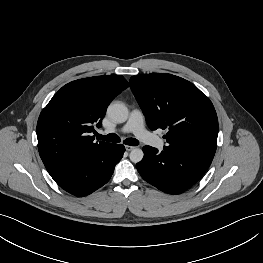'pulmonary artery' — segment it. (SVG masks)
I'll return each mask as SVG.
<instances>
[{
	"label": "pulmonary artery",
	"instance_id": "e3ab8cb5",
	"mask_svg": "<svg viewBox=\"0 0 263 263\" xmlns=\"http://www.w3.org/2000/svg\"><path fill=\"white\" fill-rule=\"evenodd\" d=\"M123 133H133L140 141L152 145L156 148H163L165 143L156 135L148 132L144 126V116L139 109L131 111L128 121L120 129ZM111 132V131H107Z\"/></svg>",
	"mask_w": 263,
	"mask_h": 263
}]
</instances>
